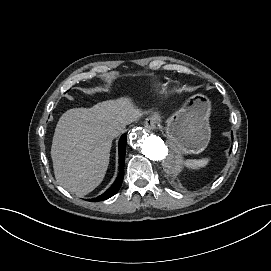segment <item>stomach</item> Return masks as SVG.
I'll use <instances>...</instances> for the list:
<instances>
[{"mask_svg": "<svg viewBox=\"0 0 271 271\" xmlns=\"http://www.w3.org/2000/svg\"><path fill=\"white\" fill-rule=\"evenodd\" d=\"M211 102L197 94L187 99L183 107L166 119V136L175 151L198 154L205 150L210 137Z\"/></svg>", "mask_w": 271, "mask_h": 271, "instance_id": "1", "label": "stomach"}]
</instances>
